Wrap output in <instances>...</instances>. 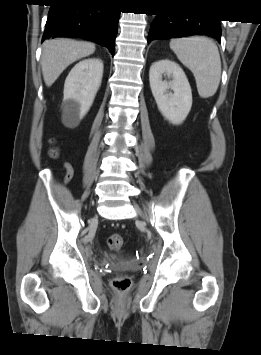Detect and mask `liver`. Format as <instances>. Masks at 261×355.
<instances>
[{
	"label": "liver",
	"instance_id": "1",
	"mask_svg": "<svg viewBox=\"0 0 261 355\" xmlns=\"http://www.w3.org/2000/svg\"><path fill=\"white\" fill-rule=\"evenodd\" d=\"M95 45L71 39L47 40L42 46L41 66L44 82L50 87L73 62L93 54Z\"/></svg>",
	"mask_w": 261,
	"mask_h": 355
}]
</instances>
